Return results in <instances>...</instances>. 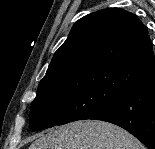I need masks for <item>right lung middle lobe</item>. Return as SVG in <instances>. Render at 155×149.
I'll list each match as a JSON object with an SVG mask.
<instances>
[{
    "instance_id": "right-lung-middle-lobe-1",
    "label": "right lung middle lobe",
    "mask_w": 155,
    "mask_h": 149,
    "mask_svg": "<svg viewBox=\"0 0 155 149\" xmlns=\"http://www.w3.org/2000/svg\"><path fill=\"white\" fill-rule=\"evenodd\" d=\"M130 69L109 67L41 81L31 102V130L89 119L146 80Z\"/></svg>"
}]
</instances>
